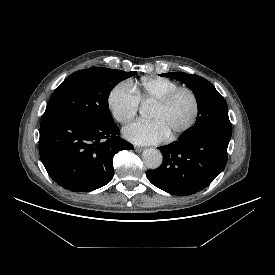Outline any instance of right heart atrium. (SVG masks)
Here are the masks:
<instances>
[{"label": "right heart atrium", "instance_id": "1", "mask_svg": "<svg viewBox=\"0 0 275 275\" xmlns=\"http://www.w3.org/2000/svg\"><path fill=\"white\" fill-rule=\"evenodd\" d=\"M107 102L113 118L120 124L131 121L140 107V99L131 80H124L116 84L111 89Z\"/></svg>", "mask_w": 275, "mask_h": 275}]
</instances>
